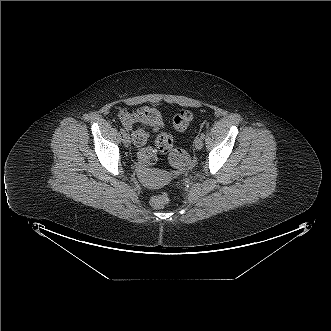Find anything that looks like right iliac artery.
I'll list each match as a JSON object with an SVG mask.
<instances>
[{"instance_id":"obj_1","label":"right iliac artery","mask_w":331,"mask_h":331,"mask_svg":"<svg viewBox=\"0 0 331 331\" xmlns=\"http://www.w3.org/2000/svg\"><path fill=\"white\" fill-rule=\"evenodd\" d=\"M120 132H121V134H123V135L126 134V131H125L123 128L120 129Z\"/></svg>"}]
</instances>
